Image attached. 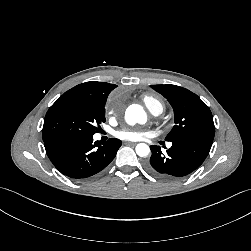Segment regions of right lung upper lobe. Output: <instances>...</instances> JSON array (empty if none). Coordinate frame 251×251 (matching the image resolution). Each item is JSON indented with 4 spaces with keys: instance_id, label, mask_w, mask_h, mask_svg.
<instances>
[{
    "instance_id": "right-lung-upper-lobe-1",
    "label": "right lung upper lobe",
    "mask_w": 251,
    "mask_h": 251,
    "mask_svg": "<svg viewBox=\"0 0 251 251\" xmlns=\"http://www.w3.org/2000/svg\"><path fill=\"white\" fill-rule=\"evenodd\" d=\"M116 87L117 85L110 83L90 81L79 84L64 94L80 95L96 98L99 100H107L109 93Z\"/></svg>"
}]
</instances>
